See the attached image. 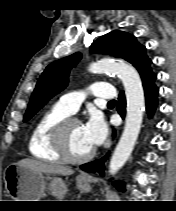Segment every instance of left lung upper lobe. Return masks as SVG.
<instances>
[{
  "mask_svg": "<svg viewBox=\"0 0 176 211\" xmlns=\"http://www.w3.org/2000/svg\"><path fill=\"white\" fill-rule=\"evenodd\" d=\"M91 52L109 54L127 60L137 68L142 80L155 75L150 68L151 60L145 53V47L139 44L133 35L126 32L112 31L105 34L92 44ZM81 57V53H75L46 67L31 96L24 122L67 86L68 74Z\"/></svg>",
  "mask_w": 176,
  "mask_h": 211,
  "instance_id": "left-lung-upper-lobe-1",
  "label": "left lung upper lobe"
}]
</instances>
